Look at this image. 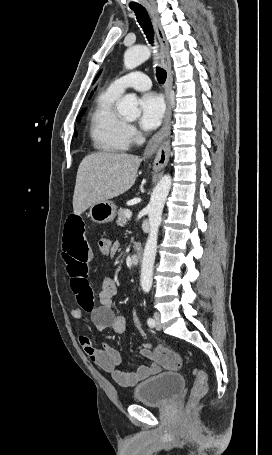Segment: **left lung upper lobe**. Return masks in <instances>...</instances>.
I'll list each match as a JSON object with an SVG mask.
<instances>
[{
	"mask_svg": "<svg viewBox=\"0 0 272 455\" xmlns=\"http://www.w3.org/2000/svg\"><path fill=\"white\" fill-rule=\"evenodd\" d=\"M98 76H99V74L96 76V79H97ZM96 79H95V80H96Z\"/></svg>",
	"mask_w": 272,
	"mask_h": 455,
	"instance_id": "obj_1",
	"label": "left lung upper lobe"
}]
</instances>
